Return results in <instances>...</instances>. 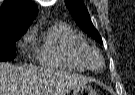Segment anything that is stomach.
Here are the masks:
<instances>
[{
	"label": "stomach",
	"mask_w": 135,
	"mask_h": 95,
	"mask_svg": "<svg viewBox=\"0 0 135 95\" xmlns=\"http://www.w3.org/2000/svg\"><path fill=\"white\" fill-rule=\"evenodd\" d=\"M72 95H97L96 91L89 85H83L73 90Z\"/></svg>",
	"instance_id": "1"
}]
</instances>
